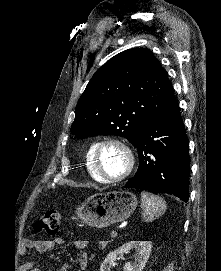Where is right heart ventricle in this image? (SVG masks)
<instances>
[{
  "mask_svg": "<svg viewBox=\"0 0 221 271\" xmlns=\"http://www.w3.org/2000/svg\"><path fill=\"white\" fill-rule=\"evenodd\" d=\"M93 141L88 143V149L86 146L85 149V159H87V167L86 172H88V176H91V179H96V183H107V178H102V174H99L97 171V167L100 166L97 158H94L93 152L96 151L95 144H92Z\"/></svg>",
  "mask_w": 221,
  "mask_h": 271,
  "instance_id": "1",
  "label": "right heart ventricle"
}]
</instances>
